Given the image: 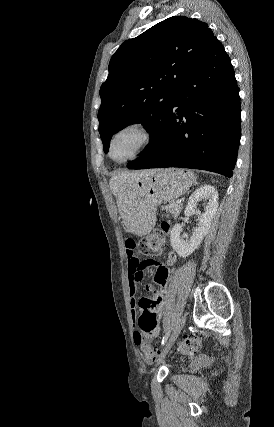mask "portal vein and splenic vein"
Listing matches in <instances>:
<instances>
[{
  "label": "portal vein and splenic vein",
  "instance_id": "18ae733b",
  "mask_svg": "<svg viewBox=\"0 0 274 427\" xmlns=\"http://www.w3.org/2000/svg\"><path fill=\"white\" fill-rule=\"evenodd\" d=\"M177 204H181V202H179V200H177Z\"/></svg>",
  "mask_w": 274,
  "mask_h": 427
}]
</instances>
